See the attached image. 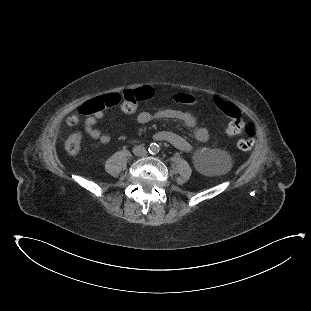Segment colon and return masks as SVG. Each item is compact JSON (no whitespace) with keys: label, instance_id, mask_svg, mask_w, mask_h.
Returning a JSON list of instances; mask_svg holds the SVG:
<instances>
[{"label":"colon","instance_id":"colon-1","mask_svg":"<svg viewBox=\"0 0 311 311\" xmlns=\"http://www.w3.org/2000/svg\"><path fill=\"white\" fill-rule=\"evenodd\" d=\"M153 91L154 88L152 86H143L131 91L124 89L119 93L101 94L97 99H89L78 110L73 111L69 117L70 123L73 126L80 127L89 123L101 110L117 109L121 106L127 113H132L137 109L140 102L150 99ZM174 101L187 104L191 103L193 98L189 94L179 93L174 96ZM212 102L232 119L227 127V133L230 136L240 133L243 130L240 125L246 116L230 100L220 94L215 95ZM256 128V123L251 120L245 128L244 135L238 140V148L240 150L248 151L253 147L256 140L254 133ZM82 143V134L80 132H72L65 139L64 148L70 156H76L81 150Z\"/></svg>","mask_w":311,"mask_h":311}]
</instances>
